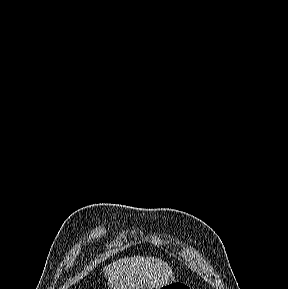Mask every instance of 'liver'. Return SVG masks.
Here are the masks:
<instances>
[{"label": "liver", "mask_w": 288, "mask_h": 289, "mask_svg": "<svg viewBox=\"0 0 288 289\" xmlns=\"http://www.w3.org/2000/svg\"><path fill=\"white\" fill-rule=\"evenodd\" d=\"M103 270L112 289H160L175 281L170 266L153 257L121 258Z\"/></svg>", "instance_id": "1"}]
</instances>
